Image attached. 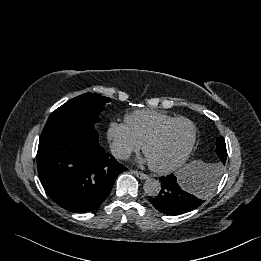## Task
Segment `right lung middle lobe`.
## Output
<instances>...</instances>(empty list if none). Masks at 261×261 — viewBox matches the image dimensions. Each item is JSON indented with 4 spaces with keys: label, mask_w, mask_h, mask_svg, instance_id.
Wrapping results in <instances>:
<instances>
[{
    "label": "right lung middle lobe",
    "mask_w": 261,
    "mask_h": 261,
    "mask_svg": "<svg viewBox=\"0 0 261 261\" xmlns=\"http://www.w3.org/2000/svg\"><path fill=\"white\" fill-rule=\"evenodd\" d=\"M111 99L95 93H85L57 108L48 118L43 132L65 125L98 122L99 114Z\"/></svg>",
    "instance_id": "obj_1"
}]
</instances>
